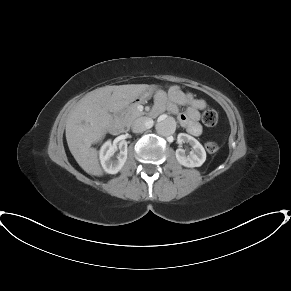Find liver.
<instances>
[{
    "instance_id": "1",
    "label": "liver",
    "mask_w": 291,
    "mask_h": 291,
    "mask_svg": "<svg viewBox=\"0 0 291 291\" xmlns=\"http://www.w3.org/2000/svg\"><path fill=\"white\" fill-rule=\"evenodd\" d=\"M149 87L147 84L105 86L86 94L70 111L66 121V140L69 150L79 166L88 174L102 176L103 170L98 143L113 122L111 112L126 107Z\"/></svg>"
}]
</instances>
